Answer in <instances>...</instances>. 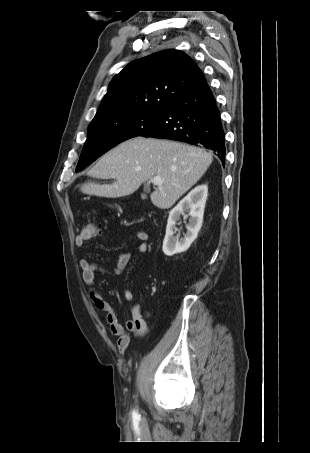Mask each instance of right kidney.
I'll return each instance as SVG.
<instances>
[{
  "label": "right kidney",
  "instance_id": "obj_1",
  "mask_svg": "<svg viewBox=\"0 0 310 453\" xmlns=\"http://www.w3.org/2000/svg\"><path fill=\"white\" fill-rule=\"evenodd\" d=\"M207 195V185H198L170 211L162 247L165 255L173 256L174 254L186 251L197 238L203 222ZM185 212H188L190 216L189 223L186 226L187 232L183 238L178 239L174 236L177 231L176 222L180 220V216L184 215Z\"/></svg>",
  "mask_w": 310,
  "mask_h": 453
}]
</instances>
